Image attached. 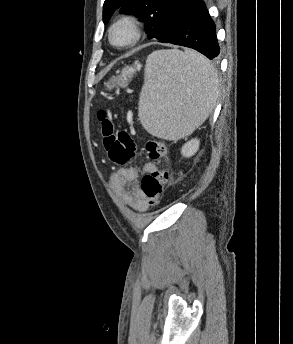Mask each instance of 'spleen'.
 <instances>
[{"label":"spleen","instance_id":"spleen-1","mask_svg":"<svg viewBox=\"0 0 293 344\" xmlns=\"http://www.w3.org/2000/svg\"><path fill=\"white\" fill-rule=\"evenodd\" d=\"M144 76L138 115L153 136L183 138L200 126L216 105L217 72L206 57L193 50L154 51L147 57Z\"/></svg>","mask_w":293,"mask_h":344}]
</instances>
